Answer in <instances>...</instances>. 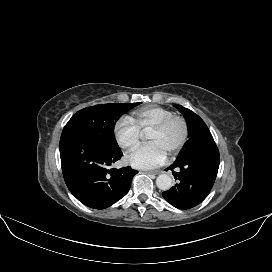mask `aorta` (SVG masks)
I'll use <instances>...</instances> for the list:
<instances>
[{
	"mask_svg": "<svg viewBox=\"0 0 272 272\" xmlns=\"http://www.w3.org/2000/svg\"><path fill=\"white\" fill-rule=\"evenodd\" d=\"M173 180L168 174H161L156 179V185L160 190L167 191L172 187Z\"/></svg>",
	"mask_w": 272,
	"mask_h": 272,
	"instance_id": "aorta-1",
	"label": "aorta"
}]
</instances>
